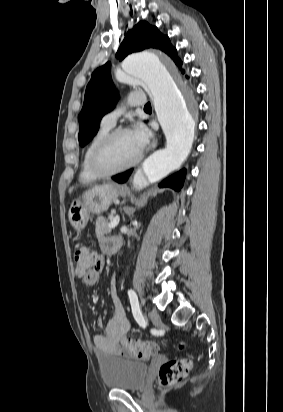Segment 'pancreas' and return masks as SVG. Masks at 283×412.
<instances>
[{
  "mask_svg": "<svg viewBox=\"0 0 283 412\" xmlns=\"http://www.w3.org/2000/svg\"><path fill=\"white\" fill-rule=\"evenodd\" d=\"M109 222L107 219L103 218V217H99L96 220V237L98 239L102 238L105 234H108L111 232V229L108 228Z\"/></svg>",
  "mask_w": 283,
  "mask_h": 412,
  "instance_id": "obj_1",
  "label": "pancreas"
}]
</instances>
